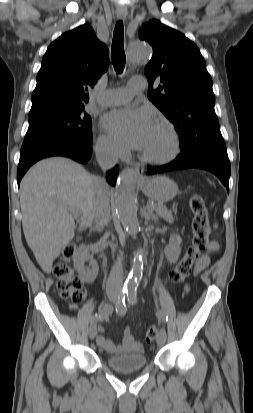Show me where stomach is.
I'll use <instances>...</instances> for the list:
<instances>
[{"label": "stomach", "mask_w": 253, "mask_h": 413, "mask_svg": "<svg viewBox=\"0 0 253 413\" xmlns=\"http://www.w3.org/2000/svg\"><path fill=\"white\" fill-rule=\"evenodd\" d=\"M142 192L159 203L172 200L178 193L176 182L166 176H155L140 183Z\"/></svg>", "instance_id": "1"}]
</instances>
